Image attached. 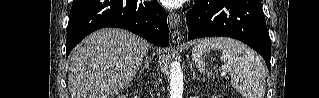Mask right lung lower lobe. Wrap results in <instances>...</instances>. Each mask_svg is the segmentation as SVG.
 Listing matches in <instances>:
<instances>
[{"mask_svg":"<svg viewBox=\"0 0 319 98\" xmlns=\"http://www.w3.org/2000/svg\"><path fill=\"white\" fill-rule=\"evenodd\" d=\"M104 27L123 28L155 45H169L166 12L157 0H73L66 57L85 36Z\"/></svg>","mask_w":319,"mask_h":98,"instance_id":"right-lung-lower-lobe-1","label":"right lung lower lobe"}]
</instances>
